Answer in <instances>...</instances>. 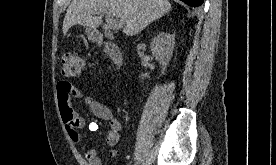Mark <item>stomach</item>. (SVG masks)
<instances>
[{"label":"stomach","mask_w":276,"mask_h":165,"mask_svg":"<svg viewBox=\"0 0 276 165\" xmlns=\"http://www.w3.org/2000/svg\"><path fill=\"white\" fill-rule=\"evenodd\" d=\"M86 34H87V37L88 39L90 40H95L98 33L95 29H91V28H86Z\"/></svg>","instance_id":"1"}]
</instances>
